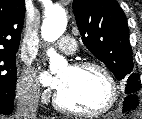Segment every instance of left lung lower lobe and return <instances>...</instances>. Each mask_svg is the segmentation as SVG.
<instances>
[{"instance_id":"obj_1","label":"left lung lower lobe","mask_w":142,"mask_h":119,"mask_svg":"<svg viewBox=\"0 0 142 119\" xmlns=\"http://www.w3.org/2000/svg\"><path fill=\"white\" fill-rule=\"evenodd\" d=\"M138 105V99L135 93L128 94L124 101V111L134 109Z\"/></svg>"}]
</instances>
